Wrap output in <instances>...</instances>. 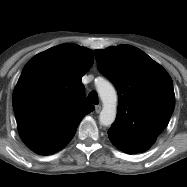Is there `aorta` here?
<instances>
[{"label":"aorta","instance_id":"obj_1","mask_svg":"<svg viewBox=\"0 0 187 187\" xmlns=\"http://www.w3.org/2000/svg\"><path fill=\"white\" fill-rule=\"evenodd\" d=\"M98 94L103 102V109L99 116L100 124L110 126L116 118L117 94L114 87L106 80H96Z\"/></svg>","mask_w":187,"mask_h":187}]
</instances>
